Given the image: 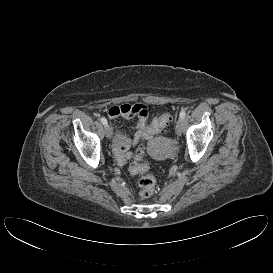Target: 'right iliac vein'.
Returning <instances> with one entry per match:
<instances>
[{
    "mask_svg": "<svg viewBox=\"0 0 273 273\" xmlns=\"http://www.w3.org/2000/svg\"><path fill=\"white\" fill-rule=\"evenodd\" d=\"M105 135L107 139H111L112 131H111V127L108 124L105 125Z\"/></svg>",
    "mask_w": 273,
    "mask_h": 273,
    "instance_id": "1",
    "label": "right iliac vein"
}]
</instances>
